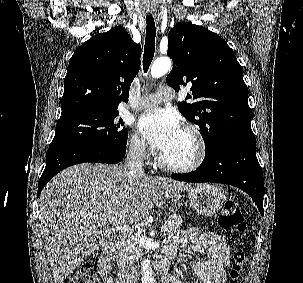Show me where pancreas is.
Returning a JSON list of instances; mask_svg holds the SVG:
<instances>
[{
  "mask_svg": "<svg viewBox=\"0 0 303 283\" xmlns=\"http://www.w3.org/2000/svg\"><path fill=\"white\" fill-rule=\"evenodd\" d=\"M169 220L171 221L170 224H167L168 230L166 231L168 234H172L180 230L183 219L177 214H171L169 216ZM132 236L141 237L139 232H135L134 230L130 231ZM142 254V249L140 246L134 245L129 238V235H124L122 238L117 242V254L115 259L117 264L124 268L125 265L130 260H135L140 257Z\"/></svg>",
  "mask_w": 303,
  "mask_h": 283,
  "instance_id": "cf45deb5",
  "label": "pancreas"
}]
</instances>
